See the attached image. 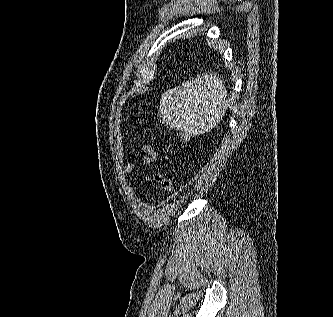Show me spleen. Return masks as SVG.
<instances>
[{"label":"spleen","instance_id":"1","mask_svg":"<svg viewBox=\"0 0 333 317\" xmlns=\"http://www.w3.org/2000/svg\"><path fill=\"white\" fill-rule=\"evenodd\" d=\"M227 105L223 82L208 74L163 93L159 113L162 122L174 129L203 134L220 122Z\"/></svg>","mask_w":333,"mask_h":317}]
</instances>
